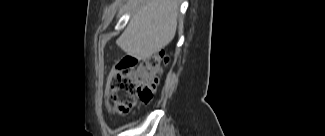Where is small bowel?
Returning <instances> with one entry per match:
<instances>
[{"label":"small bowel","instance_id":"small-bowel-1","mask_svg":"<svg viewBox=\"0 0 325 136\" xmlns=\"http://www.w3.org/2000/svg\"><path fill=\"white\" fill-rule=\"evenodd\" d=\"M136 55L133 53H123L121 57V62H118L117 65H114L109 73L108 79H106L105 89L115 91L114 86L117 85L119 80L125 79V75L129 74V72L134 71L133 64L136 61L139 63L141 60L138 58L136 60ZM112 91H105L104 97L105 98H112L113 92Z\"/></svg>","mask_w":325,"mask_h":136}]
</instances>
